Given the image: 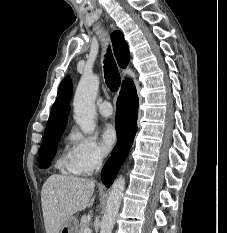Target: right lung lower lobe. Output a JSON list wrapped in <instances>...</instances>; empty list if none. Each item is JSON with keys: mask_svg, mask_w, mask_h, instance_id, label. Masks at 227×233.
I'll use <instances>...</instances> for the list:
<instances>
[{"mask_svg": "<svg viewBox=\"0 0 227 233\" xmlns=\"http://www.w3.org/2000/svg\"><path fill=\"white\" fill-rule=\"evenodd\" d=\"M137 109L138 97L136 94V88L132 80L129 79L126 88L120 92L117 100V145L112 151L111 157L108 159L101 172L102 182L106 186L112 184L113 179L126 159L133 143L134 136L137 131Z\"/></svg>", "mask_w": 227, "mask_h": 233, "instance_id": "obj_1", "label": "right lung lower lobe"}]
</instances>
